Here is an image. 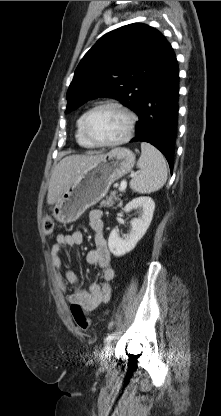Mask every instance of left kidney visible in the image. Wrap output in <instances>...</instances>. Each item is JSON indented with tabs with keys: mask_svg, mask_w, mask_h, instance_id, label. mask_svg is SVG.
<instances>
[{
	"mask_svg": "<svg viewBox=\"0 0 221 416\" xmlns=\"http://www.w3.org/2000/svg\"><path fill=\"white\" fill-rule=\"evenodd\" d=\"M133 209L139 210V217L131 221L129 235L121 238L116 229H113L109 235V250L117 257L132 251L138 241L145 235L152 221L155 203L150 197L135 198L124 207V211L130 212Z\"/></svg>",
	"mask_w": 221,
	"mask_h": 416,
	"instance_id": "1",
	"label": "left kidney"
}]
</instances>
